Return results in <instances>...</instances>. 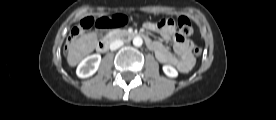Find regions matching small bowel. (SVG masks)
Wrapping results in <instances>:
<instances>
[{
  "mask_svg": "<svg viewBox=\"0 0 276 120\" xmlns=\"http://www.w3.org/2000/svg\"><path fill=\"white\" fill-rule=\"evenodd\" d=\"M144 28L153 31L162 36L166 41L173 44V48L178 57L174 56L160 42L152 41L148 38V47L155 52L157 59L165 64L175 66L180 72L187 73L194 65V59L191 55V42L175 31L174 26L162 27L159 23L146 22Z\"/></svg>",
  "mask_w": 276,
  "mask_h": 120,
  "instance_id": "small-bowel-1",
  "label": "small bowel"
}]
</instances>
